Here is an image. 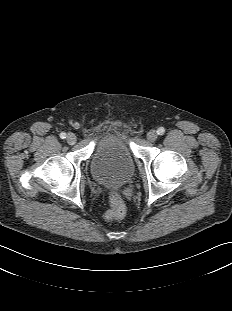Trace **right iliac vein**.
<instances>
[{"label": "right iliac vein", "instance_id": "1", "mask_svg": "<svg viewBox=\"0 0 232 311\" xmlns=\"http://www.w3.org/2000/svg\"><path fill=\"white\" fill-rule=\"evenodd\" d=\"M66 141L68 144L73 145L76 143V136L73 133H69L66 137Z\"/></svg>", "mask_w": 232, "mask_h": 311}]
</instances>
